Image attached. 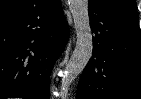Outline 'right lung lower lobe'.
I'll list each match as a JSON object with an SVG mask.
<instances>
[{"instance_id":"1","label":"right lung lower lobe","mask_w":141,"mask_h":99,"mask_svg":"<svg viewBox=\"0 0 141 99\" xmlns=\"http://www.w3.org/2000/svg\"><path fill=\"white\" fill-rule=\"evenodd\" d=\"M69 35L60 0L0 16V99H49V77Z\"/></svg>"}]
</instances>
